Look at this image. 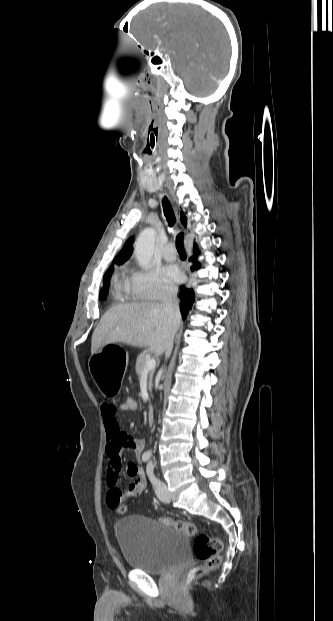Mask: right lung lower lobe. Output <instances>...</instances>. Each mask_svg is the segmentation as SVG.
<instances>
[{
    "label": "right lung lower lobe",
    "mask_w": 333,
    "mask_h": 621,
    "mask_svg": "<svg viewBox=\"0 0 333 621\" xmlns=\"http://www.w3.org/2000/svg\"><path fill=\"white\" fill-rule=\"evenodd\" d=\"M198 254H199V251L197 249V245L195 244V246H194V254L189 259L190 261L193 262V266L191 267L192 271L198 269L199 266H200L199 262H197V255ZM179 298H180L181 314L183 316V319H185V317L187 315V312L189 311V309L191 308V306H192V304L194 302L193 289L192 288H187L184 285H182L180 287Z\"/></svg>",
    "instance_id": "98d812e1"
}]
</instances>
